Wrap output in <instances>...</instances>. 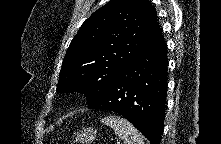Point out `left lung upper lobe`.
Instances as JSON below:
<instances>
[{
    "mask_svg": "<svg viewBox=\"0 0 221 144\" xmlns=\"http://www.w3.org/2000/svg\"><path fill=\"white\" fill-rule=\"evenodd\" d=\"M159 29L149 0H111L82 24L71 41L57 93L84 92L91 107Z\"/></svg>",
    "mask_w": 221,
    "mask_h": 144,
    "instance_id": "obj_1",
    "label": "left lung upper lobe"
}]
</instances>
